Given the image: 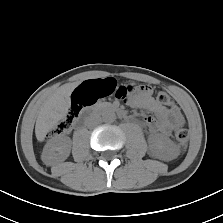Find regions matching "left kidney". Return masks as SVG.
<instances>
[{
    "instance_id": "left-kidney-1",
    "label": "left kidney",
    "mask_w": 223,
    "mask_h": 223,
    "mask_svg": "<svg viewBox=\"0 0 223 223\" xmlns=\"http://www.w3.org/2000/svg\"><path fill=\"white\" fill-rule=\"evenodd\" d=\"M151 154L159 159L172 160L178 156L176 145L165 137H157L150 142Z\"/></svg>"
}]
</instances>
